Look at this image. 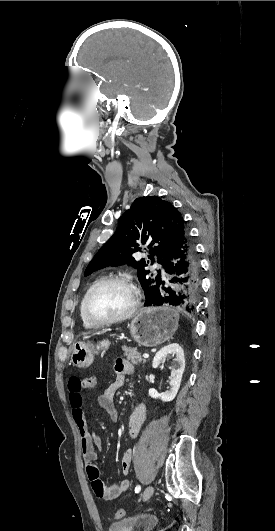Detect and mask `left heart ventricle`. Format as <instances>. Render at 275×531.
I'll use <instances>...</instances> for the list:
<instances>
[{
    "instance_id": "b2bd125f",
    "label": "left heart ventricle",
    "mask_w": 275,
    "mask_h": 531,
    "mask_svg": "<svg viewBox=\"0 0 275 531\" xmlns=\"http://www.w3.org/2000/svg\"><path fill=\"white\" fill-rule=\"evenodd\" d=\"M133 293L122 283H109L99 288L89 299L88 314L98 320L125 314L132 304Z\"/></svg>"
}]
</instances>
